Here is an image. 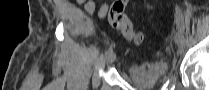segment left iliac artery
Masks as SVG:
<instances>
[{"mask_svg":"<svg viewBox=\"0 0 209 90\" xmlns=\"http://www.w3.org/2000/svg\"><path fill=\"white\" fill-rule=\"evenodd\" d=\"M178 8L177 6L175 7ZM177 12H180V9H177ZM177 29H180V32H184V19L182 14H177Z\"/></svg>","mask_w":209,"mask_h":90,"instance_id":"44dca946","label":"left iliac artery"}]
</instances>
